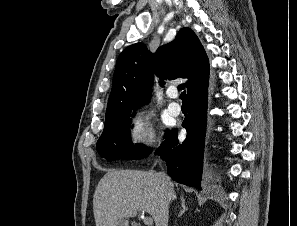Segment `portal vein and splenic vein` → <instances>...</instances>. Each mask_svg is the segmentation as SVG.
I'll return each instance as SVG.
<instances>
[{"label":"portal vein and splenic vein","instance_id":"1","mask_svg":"<svg viewBox=\"0 0 297 226\" xmlns=\"http://www.w3.org/2000/svg\"><path fill=\"white\" fill-rule=\"evenodd\" d=\"M141 218L144 219V222L148 225L151 224L153 222L152 218L150 216H146L144 211L141 214Z\"/></svg>","mask_w":297,"mask_h":226}]
</instances>
